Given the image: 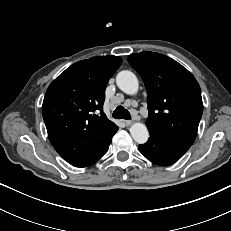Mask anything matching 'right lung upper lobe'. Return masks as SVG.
<instances>
[{"mask_svg":"<svg viewBox=\"0 0 231 231\" xmlns=\"http://www.w3.org/2000/svg\"><path fill=\"white\" fill-rule=\"evenodd\" d=\"M122 63L118 56L79 61L48 87L42 105L50 141L59 155L77 167L93 164L118 127L103 113L105 88Z\"/></svg>","mask_w":231,"mask_h":231,"instance_id":"obj_1","label":"right lung upper lobe"}]
</instances>
